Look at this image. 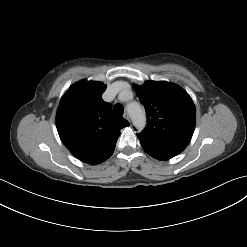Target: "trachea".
<instances>
[{
  "label": "trachea",
  "mask_w": 247,
  "mask_h": 247,
  "mask_svg": "<svg viewBox=\"0 0 247 247\" xmlns=\"http://www.w3.org/2000/svg\"><path fill=\"white\" fill-rule=\"evenodd\" d=\"M114 112L117 116L121 117L124 113L123 106L121 104H116L114 106Z\"/></svg>",
  "instance_id": "trachea-1"
}]
</instances>
